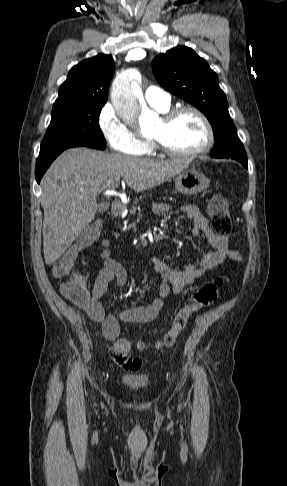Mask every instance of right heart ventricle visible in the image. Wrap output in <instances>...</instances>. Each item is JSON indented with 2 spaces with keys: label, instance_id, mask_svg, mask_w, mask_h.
<instances>
[{
  "label": "right heart ventricle",
  "instance_id": "e07e8e85",
  "mask_svg": "<svg viewBox=\"0 0 287 486\" xmlns=\"http://www.w3.org/2000/svg\"><path fill=\"white\" fill-rule=\"evenodd\" d=\"M159 111L161 112H167L169 110V107L166 108V109H158ZM153 145L151 142L149 141H144V147H143V150L140 152V154H143V155H151L153 153Z\"/></svg>",
  "mask_w": 287,
  "mask_h": 486
}]
</instances>
